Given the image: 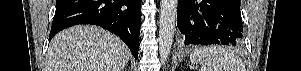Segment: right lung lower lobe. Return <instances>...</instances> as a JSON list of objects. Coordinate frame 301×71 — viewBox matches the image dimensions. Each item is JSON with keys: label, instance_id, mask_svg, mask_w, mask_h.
I'll return each mask as SVG.
<instances>
[{"label": "right lung lower lobe", "instance_id": "98d812e1", "mask_svg": "<svg viewBox=\"0 0 301 71\" xmlns=\"http://www.w3.org/2000/svg\"><path fill=\"white\" fill-rule=\"evenodd\" d=\"M140 3L141 0H57L49 39L73 25H98L118 35L137 58Z\"/></svg>", "mask_w": 301, "mask_h": 71}]
</instances>
